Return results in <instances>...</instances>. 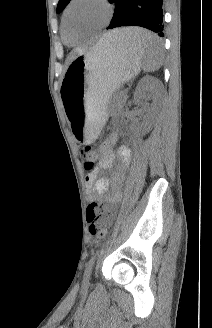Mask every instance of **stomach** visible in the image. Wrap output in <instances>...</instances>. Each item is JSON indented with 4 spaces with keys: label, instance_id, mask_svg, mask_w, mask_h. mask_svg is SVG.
Returning a JSON list of instances; mask_svg holds the SVG:
<instances>
[{
    "label": "stomach",
    "instance_id": "obj_1",
    "mask_svg": "<svg viewBox=\"0 0 212 328\" xmlns=\"http://www.w3.org/2000/svg\"><path fill=\"white\" fill-rule=\"evenodd\" d=\"M144 56V50L115 36H104L71 61L63 76L61 96L78 141L96 139L108 116L110 97L140 72Z\"/></svg>",
    "mask_w": 212,
    "mask_h": 328
}]
</instances>
